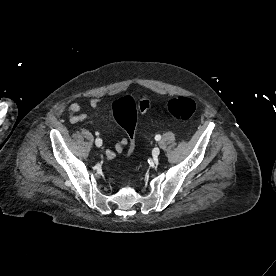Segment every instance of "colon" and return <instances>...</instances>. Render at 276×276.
I'll list each match as a JSON object with an SVG mask.
<instances>
[{"label": "colon", "mask_w": 276, "mask_h": 276, "mask_svg": "<svg viewBox=\"0 0 276 276\" xmlns=\"http://www.w3.org/2000/svg\"><path fill=\"white\" fill-rule=\"evenodd\" d=\"M150 107V98L142 96L136 102L131 96H123L112 104V113L116 122L126 131L130 151L134 147L137 114L146 112ZM168 112L179 120H188L195 112L196 104L188 97H174L166 106Z\"/></svg>", "instance_id": "obj_1"}]
</instances>
